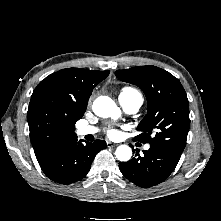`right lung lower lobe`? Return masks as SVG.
Listing matches in <instances>:
<instances>
[{
  "mask_svg": "<svg viewBox=\"0 0 221 221\" xmlns=\"http://www.w3.org/2000/svg\"><path fill=\"white\" fill-rule=\"evenodd\" d=\"M106 148V142L86 143L74 139L60 147L53 155L39 162L45 175L61 184H71L84 178L95 155Z\"/></svg>",
  "mask_w": 221,
  "mask_h": 221,
  "instance_id": "right-lung-lower-lobe-1",
  "label": "right lung lower lobe"
}]
</instances>
